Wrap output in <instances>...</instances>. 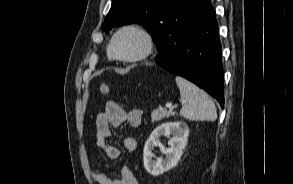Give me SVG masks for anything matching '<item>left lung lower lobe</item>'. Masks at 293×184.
I'll return each mask as SVG.
<instances>
[{
    "label": "left lung lower lobe",
    "instance_id": "left-lung-lower-lobe-1",
    "mask_svg": "<svg viewBox=\"0 0 293 184\" xmlns=\"http://www.w3.org/2000/svg\"><path fill=\"white\" fill-rule=\"evenodd\" d=\"M172 12L156 64L204 89L223 108L222 52L210 0H182Z\"/></svg>",
    "mask_w": 293,
    "mask_h": 184
}]
</instances>
